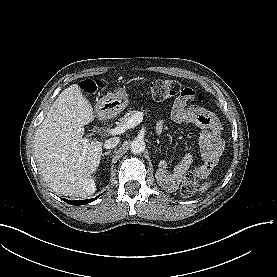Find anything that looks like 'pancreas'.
<instances>
[{"label":"pancreas","mask_w":277,"mask_h":277,"mask_svg":"<svg viewBox=\"0 0 277 277\" xmlns=\"http://www.w3.org/2000/svg\"><path fill=\"white\" fill-rule=\"evenodd\" d=\"M137 112L138 111L136 110H129L122 118L119 119V125L126 123V121Z\"/></svg>","instance_id":"1"}]
</instances>
